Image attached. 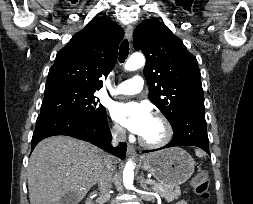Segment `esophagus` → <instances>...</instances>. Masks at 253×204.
<instances>
[{
    "label": "esophagus",
    "mask_w": 253,
    "mask_h": 204,
    "mask_svg": "<svg viewBox=\"0 0 253 204\" xmlns=\"http://www.w3.org/2000/svg\"><path fill=\"white\" fill-rule=\"evenodd\" d=\"M132 34H133V26L129 24V25L126 27V30H125L126 38H127L128 40H131ZM127 152H128V154H129L130 156H133V157L136 156L135 148H134V146L131 145V144H128V145H127Z\"/></svg>",
    "instance_id": "esophagus-1"
}]
</instances>
